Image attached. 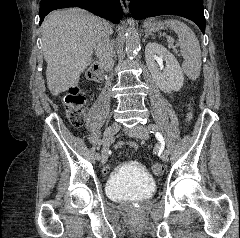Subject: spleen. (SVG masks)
<instances>
[{
  "mask_svg": "<svg viewBox=\"0 0 240 238\" xmlns=\"http://www.w3.org/2000/svg\"><path fill=\"white\" fill-rule=\"evenodd\" d=\"M165 24L178 35L181 54L184 57L182 64L185 74L191 80H196L201 71V49L195 33L183 22L166 20Z\"/></svg>",
  "mask_w": 240,
  "mask_h": 238,
  "instance_id": "obj_1",
  "label": "spleen"
}]
</instances>
